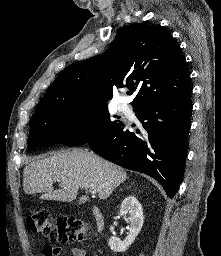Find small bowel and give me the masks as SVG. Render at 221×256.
<instances>
[{
	"mask_svg": "<svg viewBox=\"0 0 221 256\" xmlns=\"http://www.w3.org/2000/svg\"><path fill=\"white\" fill-rule=\"evenodd\" d=\"M71 255L72 256H86V251H85V249H83L81 247H73V248H71ZM44 256H57V255L50 253L46 247L44 250Z\"/></svg>",
	"mask_w": 221,
	"mask_h": 256,
	"instance_id": "obj_1",
	"label": "small bowel"
}]
</instances>
